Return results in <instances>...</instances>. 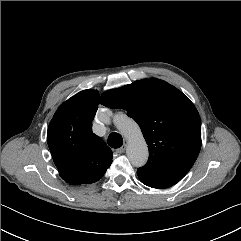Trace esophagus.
<instances>
[{
  "label": "esophagus",
  "instance_id": "1",
  "mask_svg": "<svg viewBox=\"0 0 241 241\" xmlns=\"http://www.w3.org/2000/svg\"><path fill=\"white\" fill-rule=\"evenodd\" d=\"M125 149H126V144H123L122 147H120L119 149L116 150V153L122 154V153H124Z\"/></svg>",
  "mask_w": 241,
  "mask_h": 241
}]
</instances>
